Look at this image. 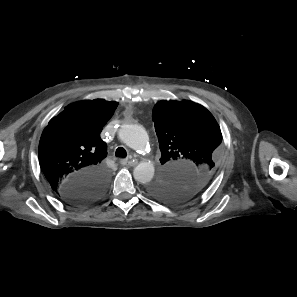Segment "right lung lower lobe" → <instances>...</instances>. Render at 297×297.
Wrapping results in <instances>:
<instances>
[{
  "label": "right lung lower lobe",
  "instance_id": "right-lung-lower-lobe-1",
  "mask_svg": "<svg viewBox=\"0 0 297 297\" xmlns=\"http://www.w3.org/2000/svg\"><path fill=\"white\" fill-rule=\"evenodd\" d=\"M109 184L107 170L97 169L76 174L60 191L59 196L72 205H87L98 200Z\"/></svg>",
  "mask_w": 297,
  "mask_h": 297
}]
</instances>
